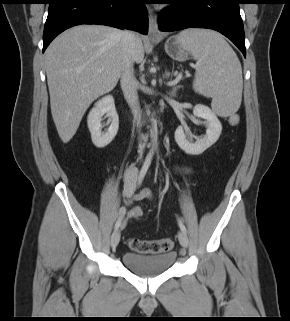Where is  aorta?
Masks as SVG:
<instances>
[{
	"label": "aorta",
	"mask_w": 290,
	"mask_h": 321,
	"mask_svg": "<svg viewBox=\"0 0 290 321\" xmlns=\"http://www.w3.org/2000/svg\"><path fill=\"white\" fill-rule=\"evenodd\" d=\"M151 132H152V142L154 143L155 140H156V132H157L155 121H153L152 131Z\"/></svg>",
	"instance_id": "1"
}]
</instances>
